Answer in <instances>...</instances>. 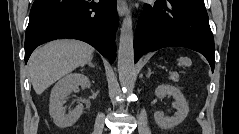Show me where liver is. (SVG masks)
<instances>
[{"instance_id": "1", "label": "liver", "mask_w": 239, "mask_h": 134, "mask_svg": "<svg viewBox=\"0 0 239 134\" xmlns=\"http://www.w3.org/2000/svg\"><path fill=\"white\" fill-rule=\"evenodd\" d=\"M94 48L78 40H56L36 49L28 62L32 86L42 94L49 86L93 58Z\"/></svg>"}]
</instances>
